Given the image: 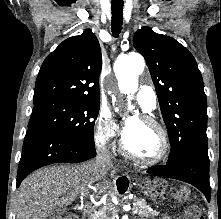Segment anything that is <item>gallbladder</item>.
Listing matches in <instances>:
<instances>
[{
  "label": "gallbladder",
  "mask_w": 221,
  "mask_h": 219,
  "mask_svg": "<svg viewBox=\"0 0 221 219\" xmlns=\"http://www.w3.org/2000/svg\"><path fill=\"white\" fill-rule=\"evenodd\" d=\"M65 212L64 208H57L51 211L48 215V219H60V216Z\"/></svg>",
  "instance_id": "bac80fb5"
}]
</instances>
